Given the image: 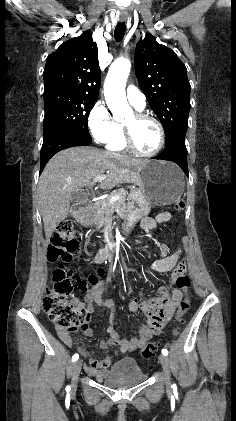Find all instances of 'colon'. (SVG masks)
<instances>
[{
  "instance_id": "5ec220e1",
  "label": "colon",
  "mask_w": 236,
  "mask_h": 421,
  "mask_svg": "<svg viewBox=\"0 0 236 421\" xmlns=\"http://www.w3.org/2000/svg\"><path fill=\"white\" fill-rule=\"evenodd\" d=\"M184 201H178L175 209L181 211L185 208ZM79 250V242L74 225L66 220L58 226L52 236L51 244L48 248V259L52 262L61 260L70 262ZM104 276V270L98 269L82 278L76 275L73 270L58 267L53 273V284L47 289L43 300V309L56 328L67 333L77 332L84 328L89 321V311L83 305H79L68 299V296L75 290L87 291L91 287H96L100 279ZM190 277L184 273V266H179L176 273V285L179 290L187 293L190 287ZM190 308V300L187 295L178 301L176 314L178 324H182L184 315ZM178 329L175 330L177 332ZM160 344L151 342L146 344L141 355L145 359L151 358L158 350Z\"/></svg>"
}]
</instances>
